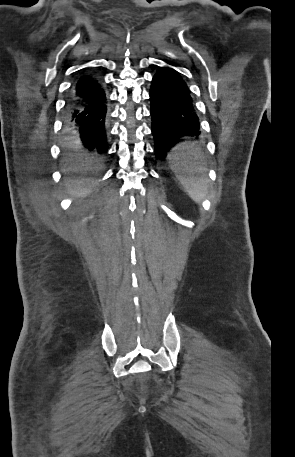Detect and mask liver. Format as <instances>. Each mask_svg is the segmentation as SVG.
<instances>
[{
    "mask_svg": "<svg viewBox=\"0 0 295 457\" xmlns=\"http://www.w3.org/2000/svg\"><path fill=\"white\" fill-rule=\"evenodd\" d=\"M79 161H81V159H77L76 163L79 162ZM64 162H65V164H64V171L65 172L78 171V170L83 169L84 168L83 166H85L87 168V164H85V165L84 164H82V165H79V164L72 165L71 164L72 159H65ZM92 184H93V182H91V181L70 180V181L66 182V186L68 188V191L73 197H84V196H86L90 192Z\"/></svg>",
    "mask_w": 295,
    "mask_h": 457,
    "instance_id": "1",
    "label": "liver"
}]
</instances>
